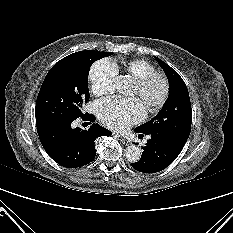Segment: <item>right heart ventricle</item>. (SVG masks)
Wrapping results in <instances>:
<instances>
[{
  "mask_svg": "<svg viewBox=\"0 0 233 233\" xmlns=\"http://www.w3.org/2000/svg\"><path fill=\"white\" fill-rule=\"evenodd\" d=\"M123 68L137 80L156 73L155 67L142 59L130 60L123 65Z\"/></svg>",
  "mask_w": 233,
  "mask_h": 233,
  "instance_id": "obj_1",
  "label": "right heart ventricle"
}]
</instances>
